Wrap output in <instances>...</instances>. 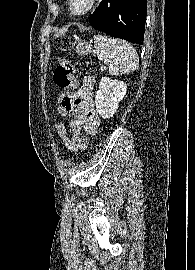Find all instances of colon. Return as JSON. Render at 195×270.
I'll list each match as a JSON object with an SVG mask.
<instances>
[{
    "label": "colon",
    "mask_w": 195,
    "mask_h": 270,
    "mask_svg": "<svg viewBox=\"0 0 195 270\" xmlns=\"http://www.w3.org/2000/svg\"><path fill=\"white\" fill-rule=\"evenodd\" d=\"M74 67L72 63L60 57L58 66L53 74V81L55 85L61 89H65L66 91L61 94L57 99L58 107H70L74 104L80 84L77 80L74 79ZM79 148L86 149L88 147V139L83 136L78 140Z\"/></svg>",
    "instance_id": "5ec220e1"
}]
</instances>
